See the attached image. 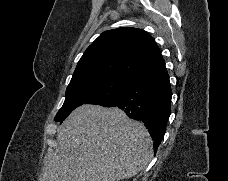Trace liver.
<instances>
[{"label": "liver", "instance_id": "liver-1", "mask_svg": "<svg viewBox=\"0 0 228 181\" xmlns=\"http://www.w3.org/2000/svg\"><path fill=\"white\" fill-rule=\"evenodd\" d=\"M56 139L59 147L48 157L41 181H125L152 159L147 129L118 107L81 105Z\"/></svg>", "mask_w": 228, "mask_h": 181}]
</instances>
